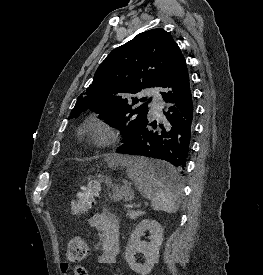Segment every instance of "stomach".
<instances>
[{
	"label": "stomach",
	"instance_id": "obj_1",
	"mask_svg": "<svg viewBox=\"0 0 263 275\" xmlns=\"http://www.w3.org/2000/svg\"><path fill=\"white\" fill-rule=\"evenodd\" d=\"M157 164L166 165V164L160 163V162H157ZM122 198H125L126 200H129V199L132 198V191L130 190V188L124 187L122 189H115L114 190V197H113V199L114 200H120Z\"/></svg>",
	"mask_w": 263,
	"mask_h": 275
}]
</instances>
